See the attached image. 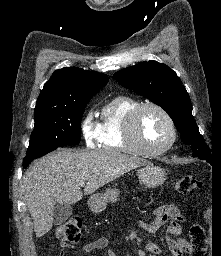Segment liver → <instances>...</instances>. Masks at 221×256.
<instances>
[{
	"instance_id": "6515ba94",
	"label": "liver",
	"mask_w": 221,
	"mask_h": 256,
	"mask_svg": "<svg viewBox=\"0 0 221 256\" xmlns=\"http://www.w3.org/2000/svg\"><path fill=\"white\" fill-rule=\"evenodd\" d=\"M148 163L114 150L58 149L35 160L23 175L20 187L34 221L36 236L42 237L52 228L53 208L57 202L71 205L82 199L81 181L86 182L84 195H90Z\"/></svg>"
}]
</instances>
